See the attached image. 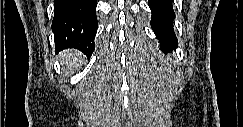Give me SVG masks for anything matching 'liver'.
Segmentation results:
<instances>
[{
  "label": "liver",
  "mask_w": 243,
  "mask_h": 127,
  "mask_svg": "<svg viewBox=\"0 0 243 127\" xmlns=\"http://www.w3.org/2000/svg\"><path fill=\"white\" fill-rule=\"evenodd\" d=\"M78 58L81 59V54L77 51L66 50L62 54V62L66 65L68 70L74 71L78 68Z\"/></svg>",
  "instance_id": "obj_1"
}]
</instances>
